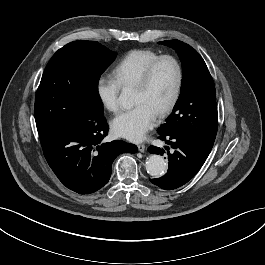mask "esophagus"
Instances as JSON below:
<instances>
[{
    "label": "esophagus",
    "instance_id": "1",
    "mask_svg": "<svg viewBox=\"0 0 265 265\" xmlns=\"http://www.w3.org/2000/svg\"><path fill=\"white\" fill-rule=\"evenodd\" d=\"M137 147L140 152H144L146 150V146L144 144H139Z\"/></svg>",
    "mask_w": 265,
    "mask_h": 265
}]
</instances>
